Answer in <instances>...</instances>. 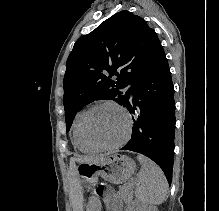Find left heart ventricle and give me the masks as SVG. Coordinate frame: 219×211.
<instances>
[{
  "instance_id": "obj_1",
  "label": "left heart ventricle",
  "mask_w": 219,
  "mask_h": 211,
  "mask_svg": "<svg viewBox=\"0 0 219 211\" xmlns=\"http://www.w3.org/2000/svg\"><path fill=\"white\" fill-rule=\"evenodd\" d=\"M126 118L112 106L96 108L89 116L87 131L89 137L98 144L118 142L126 130Z\"/></svg>"
}]
</instances>
